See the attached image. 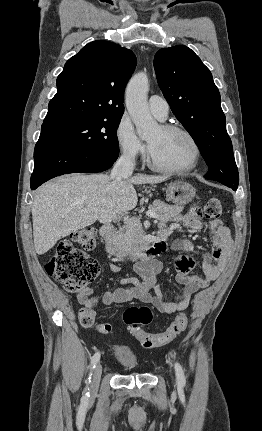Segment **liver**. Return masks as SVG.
I'll return each mask as SVG.
<instances>
[{
    "mask_svg": "<svg viewBox=\"0 0 262 431\" xmlns=\"http://www.w3.org/2000/svg\"><path fill=\"white\" fill-rule=\"evenodd\" d=\"M167 177L137 174L113 180L106 174H73L39 187L32 204L36 253L45 254L58 240L86 226L110 223L137 206L133 184H156Z\"/></svg>",
    "mask_w": 262,
    "mask_h": 431,
    "instance_id": "1",
    "label": "liver"
}]
</instances>
